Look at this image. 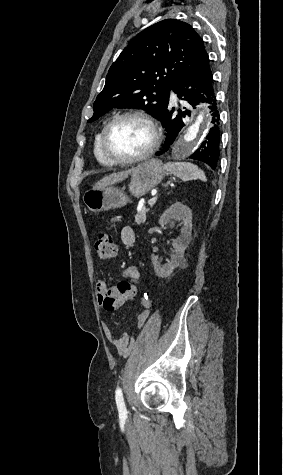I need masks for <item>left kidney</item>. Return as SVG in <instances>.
<instances>
[{"instance_id":"obj_1","label":"left kidney","mask_w":283,"mask_h":475,"mask_svg":"<svg viewBox=\"0 0 283 475\" xmlns=\"http://www.w3.org/2000/svg\"><path fill=\"white\" fill-rule=\"evenodd\" d=\"M171 220H181L182 228L180 236H178L177 239H173L172 245L174 247V255H171V261L161 263L159 257H156L154 253H151L152 263L158 277H169L173 269L180 265L184 251L192 239V212L188 206H184V204H180V202L172 204L168 210L163 212L159 224L160 226H167V224H170Z\"/></svg>"}]
</instances>
